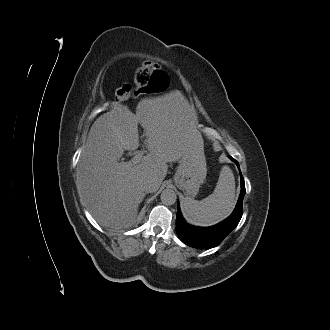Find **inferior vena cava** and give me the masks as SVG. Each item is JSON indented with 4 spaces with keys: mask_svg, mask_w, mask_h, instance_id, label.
<instances>
[{
    "mask_svg": "<svg viewBox=\"0 0 330 330\" xmlns=\"http://www.w3.org/2000/svg\"><path fill=\"white\" fill-rule=\"evenodd\" d=\"M142 189L146 193L155 192L158 189V184L153 178H146L142 182Z\"/></svg>",
    "mask_w": 330,
    "mask_h": 330,
    "instance_id": "inferior-vena-cava-1",
    "label": "inferior vena cava"
}]
</instances>
